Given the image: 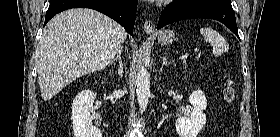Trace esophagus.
I'll return each instance as SVG.
<instances>
[{
  "mask_svg": "<svg viewBox=\"0 0 280 137\" xmlns=\"http://www.w3.org/2000/svg\"><path fill=\"white\" fill-rule=\"evenodd\" d=\"M144 30L148 33V34H154L155 33V25L152 21L148 20L145 21L144 23Z\"/></svg>",
  "mask_w": 280,
  "mask_h": 137,
  "instance_id": "34e87169",
  "label": "esophagus"
}]
</instances>
